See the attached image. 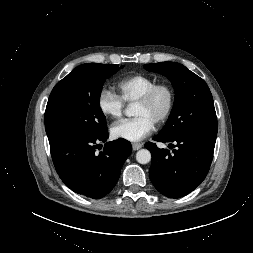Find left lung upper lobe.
<instances>
[{"label": "left lung upper lobe", "instance_id": "left-lung-upper-lobe-1", "mask_svg": "<svg viewBox=\"0 0 253 253\" xmlns=\"http://www.w3.org/2000/svg\"><path fill=\"white\" fill-rule=\"evenodd\" d=\"M144 68L167 76L175 90L173 109L159 136L172 139L186 134H201L216 138L214 102L203 79L176 62L145 64Z\"/></svg>", "mask_w": 253, "mask_h": 253}]
</instances>
